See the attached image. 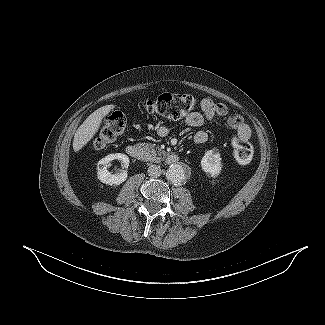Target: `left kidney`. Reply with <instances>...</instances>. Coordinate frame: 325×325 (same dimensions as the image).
Segmentation results:
<instances>
[{"label":"left kidney","mask_w":325,"mask_h":325,"mask_svg":"<svg viewBox=\"0 0 325 325\" xmlns=\"http://www.w3.org/2000/svg\"><path fill=\"white\" fill-rule=\"evenodd\" d=\"M222 158L217 149L208 150L201 159L202 170L211 177H217L222 170Z\"/></svg>","instance_id":"1"}]
</instances>
